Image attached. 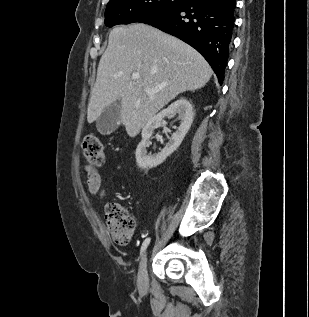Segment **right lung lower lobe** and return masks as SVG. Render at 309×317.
<instances>
[{
	"instance_id": "right-lung-lower-lobe-1",
	"label": "right lung lower lobe",
	"mask_w": 309,
	"mask_h": 317,
	"mask_svg": "<svg viewBox=\"0 0 309 317\" xmlns=\"http://www.w3.org/2000/svg\"><path fill=\"white\" fill-rule=\"evenodd\" d=\"M235 7V0H186L134 22L154 26L194 47L222 84L233 36Z\"/></svg>"
}]
</instances>
